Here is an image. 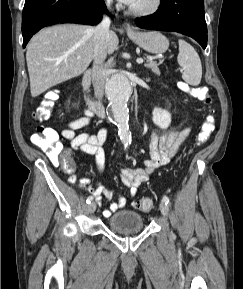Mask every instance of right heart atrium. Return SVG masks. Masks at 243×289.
Returning a JSON list of instances; mask_svg holds the SVG:
<instances>
[{
  "instance_id": "obj_1",
  "label": "right heart atrium",
  "mask_w": 243,
  "mask_h": 289,
  "mask_svg": "<svg viewBox=\"0 0 243 289\" xmlns=\"http://www.w3.org/2000/svg\"><path fill=\"white\" fill-rule=\"evenodd\" d=\"M103 2H104L105 4H109V3L111 2V0H103Z\"/></svg>"
}]
</instances>
